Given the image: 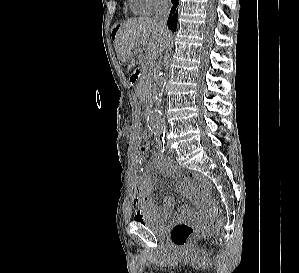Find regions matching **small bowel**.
Here are the masks:
<instances>
[{
  "instance_id": "c3829d8e",
  "label": "small bowel",
  "mask_w": 299,
  "mask_h": 273,
  "mask_svg": "<svg viewBox=\"0 0 299 273\" xmlns=\"http://www.w3.org/2000/svg\"><path fill=\"white\" fill-rule=\"evenodd\" d=\"M149 149L140 148V154L147 152ZM154 167L162 174L180 180L177 188L187 198L196 200L195 194L185 180L182 179L181 171L167 157L158 154L154 158ZM153 184L148 174H142L135 180V196H134V220L139 221L146 215H152L159 219L167 218L174 209V200L171 196L163 198L162 205L159 206L153 201ZM194 216V212L188 205H182L175 214L176 220L190 218Z\"/></svg>"
}]
</instances>
